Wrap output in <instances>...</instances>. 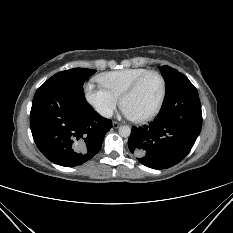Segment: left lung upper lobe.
Returning a JSON list of instances; mask_svg holds the SVG:
<instances>
[{"label": "left lung upper lobe", "instance_id": "obj_1", "mask_svg": "<svg viewBox=\"0 0 233 233\" xmlns=\"http://www.w3.org/2000/svg\"><path fill=\"white\" fill-rule=\"evenodd\" d=\"M160 71L164 77L167 92L175 82L177 76H179L181 73L167 65L162 66Z\"/></svg>", "mask_w": 233, "mask_h": 233}]
</instances>
